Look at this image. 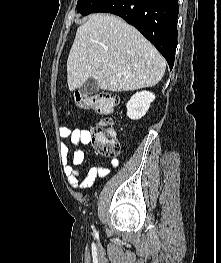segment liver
<instances>
[{"instance_id":"liver-1","label":"liver","mask_w":221,"mask_h":263,"mask_svg":"<svg viewBox=\"0 0 221 263\" xmlns=\"http://www.w3.org/2000/svg\"><path fill=\"white\" fill-rule=\"evenodd\" d=\"M165 59L141 33L111 14H93L78 27L67 60L70 91L89 78L107 91H133L156 85Z\"/></svg>"}]
</instances>
